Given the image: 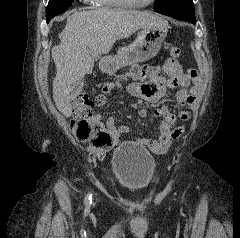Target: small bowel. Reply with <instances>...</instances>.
Wrapping results in <instances>:
<instances>
[{"label": "small bowel", "instance_id": "1", "mask_svg": "<svg viewBox=\"0 0 240 238\" xmlns=\"http://www.w3.org/2000/svg\"><path fill=\"white\" fill-rule=\"evenodd\" d=\"M135 77H147V82H136L128 86L129 92L136 97L149 101L162 99L168 89L180 87L176 96V102L181 109L178 115L171 113L166 106H162L154 111L156 117H162L163 122L159 127L157 139H141L139 142L152 152L163 154L169 149L172 140L177 139L183 132V122L190 118V113L183 108L187 105L193 106L196 103L199 91V77L197 71L188 69L183 71L180 64L175 59H167L161 65L155 67L133 68ZM114 83H107L102 87V91L95 97V104L103 106L108 96L115 89ZM140 117H146L148 110L141 108L138 112ZM92 122H100L102 116L96 114L91 116ZM106 131L111 135L112 142L105 149L117 145L121 141V135L128 133L130 128L119 124V120L110 117L105 123Z\"/></svg>", "mask_w": 240, "mask_h": 238}]
</instances>
